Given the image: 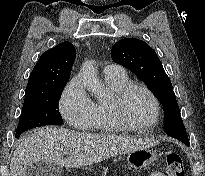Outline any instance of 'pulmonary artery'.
Segmentation results:
<instances>
[{"label":"pulmonary artery","mask_w":205,"mask_h":176,"mask_svg":"<svg viewBox=\"0 0 205 176\" xmlns=\"http://www.w3.org/2000/svg\"><path fill=\"white\" fill-rule=\"evenodd\" d=\"M104 75H124V68L119 64H108L104 67Z\"/></svg>","instance_id":"1"}]
</instances>
